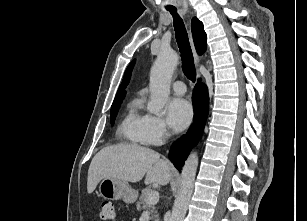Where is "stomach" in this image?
I'll return each instance as SVG.
<instances>
[{
    "mask_svg": "<svg viewBox=\"0 0 307 221\" xmlns=\"http://www.w3.org/2000/svg\"><path fill=\"white\" fill-rule=\"evenodd\" d=\"M99 193L106 199H122L127 203H133L138 196V192L128 182L113 178L102 179L99 185Z\"/></svg>",
    "mask_w": 307,
    "mask_h": 221,
    "instance_id": "stomach-1",
    "label": "stomach"
}]
</instances>
